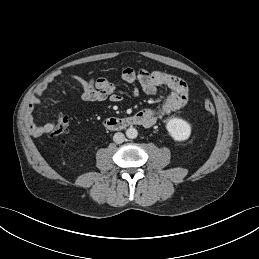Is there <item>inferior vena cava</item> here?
I'll list each match as a JSON object with an SVG mask.
<instances>
[{"instance_id":"1","label":"inferior vena cava","mask_w":259,"mask_h":259,"mask_svg":"<svg viewBox=\"0 0 259 259\" xmlns=\"http://www.w3.org/2000/svg\"><path fill=\"white\" fill-rule=\"evenodd\" d=\"M125 140V136L123 133L121 132H117L114 134L113 136V141L116 143V144H121L123 143Z\"/></svg>"}]
</instances>
